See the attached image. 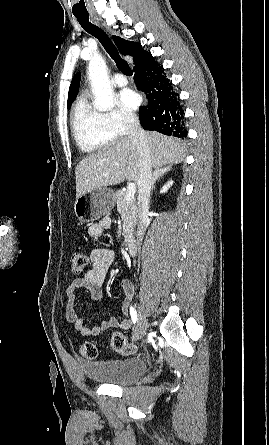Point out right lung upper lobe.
Returning <instances> with one entry per match:
<instances>
[{
	"instance_id": "1",
	"label": "right lung upper lobe",
	"mask_w": 269,
	"mask_h": 445,
	"mask_svg": "<svg viewBox=\"0 0 269 445\" xmlns=\"http://www.w3.org/2000/svg\"><path fill=\"white\" fill-rule=\"evenodd\" d=\"M113 41L121 54L133 57L135 66L152 57L151 53L144 50L140 43L124 40L118 36H113ZM79 85L80 73H77L74 76L69 88L68 103L73 102L78 93Z\"/></svg>"
}]
</instances>
